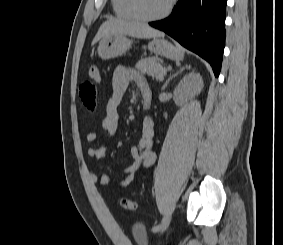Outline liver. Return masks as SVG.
Here are the masks:
<instances>
[{
    "label": "liver",
    "instance_id": "obj_1",
    "mask_svg": "<svg viewBox=\"0 0 283 245\" xmlns=\"http://www.w3.org/2000/svg\"><path fill=\"white\" fill-rule=\"evenodd\" d=\"M110 34H123L136 38L162 37L164 34L149 27L147 24L124 21L120 19H109L99 28L92 45Z\"/></svg>",
    "mask_w": 283,
    "mask_h": 245
}]
</instances>
